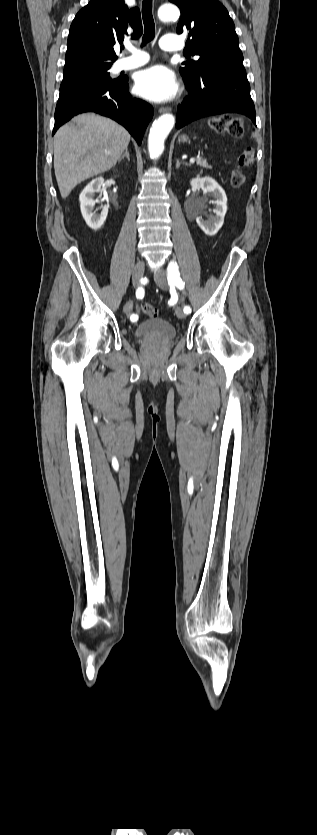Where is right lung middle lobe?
Listing matches in <instances>:
<instances>
[{
    "label": "right lung middle lobe",
    "mask_w": 317,
    "mask_h": 835,
    "mask_svg": "<svg viewBox=\"0 0 317 835\" xmlns=\"http://www.w3.org/2000/svg\"><path fill=\"white\" fill-rule=\"evenodd\" d=\"M111 65L112 62L97 57H83L75 61L65 62L60 91L87 83L113 80L108 72Z\"/></svg>",
    "instance_id": "1"
}]
</instances>
